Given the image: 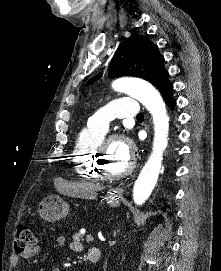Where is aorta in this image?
I'll return each mask as SVG.
<instances>
[{
	"instance_id": "obj_1",
	"label": "aorta",
	"mask_w": 221,
	"mask_h": 271,
	"mask_svg": "<svg viewBox=\"0 0 221 271\" xmlns=\"http://www.w3.org/2000/svg\"><path fill=\"white\" fill-rule=\"evenodd\" d=\"M112 88L139 100L152 116L154 124L152 153L133 188L135 204L142 205L151 195L161 171L163 153L168 144L169 117L160 93L148 82L119 78L112 83Z\"/></svg>"
}]
</instances>
